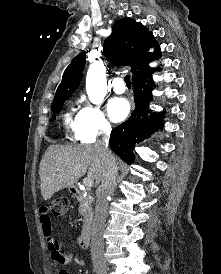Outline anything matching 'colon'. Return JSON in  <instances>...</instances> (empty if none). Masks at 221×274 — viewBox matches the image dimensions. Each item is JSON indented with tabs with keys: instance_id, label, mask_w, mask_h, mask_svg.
<instances>
[{
	"instance_id": "obj_1",
	"label": "colon",
	"mask_w": 221,
	"mask_h": 274,
	"mask_svg": "<svg viewBox=\"0 0 221 274\" xmlns=\"http://www.w3.org/2000/svg\"><path fill=\"white\" fill-rule=\"evenodd\" d=\"M68 206V201L64 197H58L51 201L49 205V212H51L54 216H62L65 214Z\"/></svg>"
}]
</instances>
